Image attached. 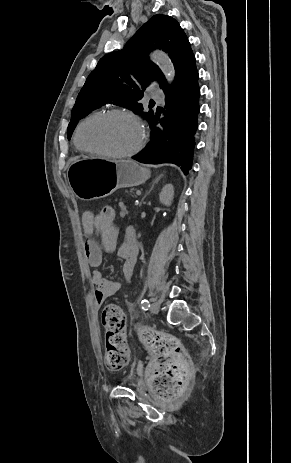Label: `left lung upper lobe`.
<instances>
[{"label": "left lung upper lobe", "instance_id": "left-lung-upper-lobe-1", "mask_svg": "<svg viewBox=\"0 0 291 463\" xmlns=\"http://www.w3.org/2000/svg\"><path fill=\"white\" fill-rule=\"evenodd\" d=\"M163 50L168 53L175 67V79L171 86L159 67L148 58L150 51ZM196 59L190 43L178 22L170 16L154 15L119 51L102 57L89 74L80 90L71 112L67 136L70 139L78 121L93 110L115 104L135 113L148 121L153 111L142 112L140 103L143 90L152 81H158L166 92L188 72L196 68Z\"/></svg>", "mask_w": 291, "mask_h": 463}]
</instances>
